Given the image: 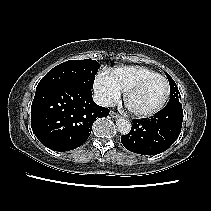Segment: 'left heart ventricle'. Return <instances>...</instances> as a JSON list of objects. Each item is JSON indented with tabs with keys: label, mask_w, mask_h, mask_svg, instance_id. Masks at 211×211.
<instances>
[{
	"label": "left heart ventricle",
	"mask_w": 211,
	"mask_h": 211,
	"mask_svg": "<svg viewBox=\"0 0 211 211\" xmlns=\"http://www.w3.org/2000/svg\"><path fill=\"white\" fill-rule=\"evenodd\" d=\"M166 89L164 80L154 79L129 97V105L138 111L151 110L162 101Z\"/></svg>",
	"instance_id": "obj_1"
}]
</instances>
